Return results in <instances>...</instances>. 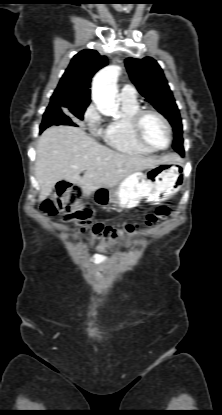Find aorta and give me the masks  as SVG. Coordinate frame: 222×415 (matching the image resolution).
I'll return each instance as SVG.
<instances>
[{
	"label": "aorta",
	"instance_id": "obj_1",
	"mask_svg": "<svg viewBox=\"0 0 222 415\" xmlns=\"http://www.w3.org/2000/svg\"><path fill=\"white\" fill-rule=\"evenodd\" d=\"M120 72V66L109 65L101 69L93 79L92 100L98 111L103 115L119 116V104L116 101V94Z\"/></svg>",
	"mask_w": 222,
	"mask_h": 415
}]
</instances>
